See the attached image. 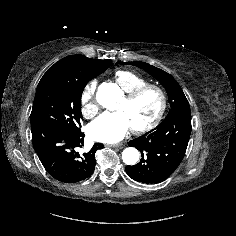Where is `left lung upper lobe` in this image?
Listing matches in <instances>:
<instances>
[{
    "instance_id": "left-lung-upper-lobe-1",
    "label": "left lung upper lobe",
    "mask_w": 236,
    "mask_h": 236,
    "mask_svg": "<svg viewBox=\"0 0 236 236\" xmlns=\"http://www.w3.org/2000/svg\"><path fill=\"white\" fill-rule=\"evenodd\" d=\"M121 64L135 65L145 70L164 86L169 97L170 111L162 123L177 113L190 112V106L184 92L170 74L145 62H121Z\"/></svg>"
}]
</instances>
